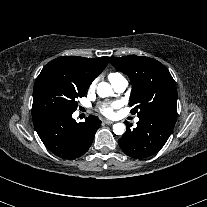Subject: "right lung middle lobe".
Returning a JSON list of instances; mask_svg holds the SVG:
<instances>
[{"label":"right lung middle lobe","mask_w":207,"mask_h":207,"mask_svg":"<svg viewBox=\"0 0 207 207\" xmlns=\"http://www.w3.org/2000/svg\"><path fill=\"white\" fill-rule=\"evenodd\" d=\"M86 92L87 88L79 86L62 70L45 66L34 84L32 114L45 111L72 114L78 107L77 99Z\"/></svg>","instance_id":"obj_1"}]
</instances>
